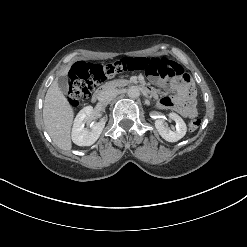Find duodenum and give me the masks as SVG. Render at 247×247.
<instances>
[{"instance_id": "obj_1", "label": "duodenum", "mask_w": 247, "mask_h": 247, "mask_svg": "<svg viewBox=\"0 0 247 247\" xmlns=\"http://www.w3.org/2000/svg\"><path fill=\"white\" fill-rule=\"evenodd\" d=\"M142 90L147 94L150 93V91H149V89L147 87H142ZM104 92H105V88L104 87H100V88L96 89L93 92L92 96H91V100L93 102H102V98H103Z\"/></svg>"}]
</instances>
